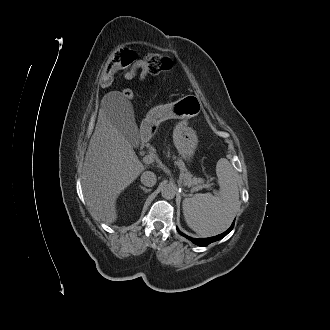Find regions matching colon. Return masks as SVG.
I'll return each mask as SVG.
<instances>
[{"label": "colon", "instance_id": "5ec220e1", "mask_svg": "<svg viewBox=\"0 0 330 330\" xmlns=\"http://www.w3.org/2000/svg\"><path fill=\"white\" fill-rule=\"evenodd\" d=\"M137 56L135 52L129 48H122L111 55L101 72V81L103 83L112 82L114 75L122 69L130 67ZM148 72L158 74L171 69L172 59L162 53L151 52L144 57ZM122 95L126 98H131L133 93L129 89L122 91Z\"/></svg>", "mask_w": 330, "mask_h": 330}]
</instances>
